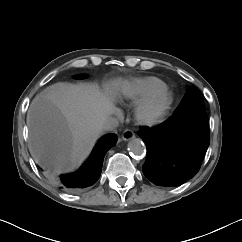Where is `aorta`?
I'll return each instance as SVG.
<instances>
[{
    "instance_id": "aorta-1",
    "label": "aorta",
    "mask_w": 242,
    "mask_h": 242,
    "mask_svg": "<svg viewBox=\"0 0 242 242\" xmlns=\"http://www.w3.org/2000/svg\"><path fill=\"white\" fill-rule=\"evenodd\" d=\"M128 150L135 156H142L146 151L144 143L138 138H134L129 141Z\"/></svg>"
}]
</instances>
